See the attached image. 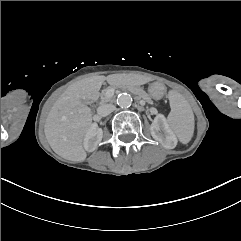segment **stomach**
<instances>
[{"label":"stomach","mask_w":241,"mask_h":241,"mask_svg":"<svg viewBox=\"0 0 241 241\" xmlns=\"http://www.w3.org/2000/svg\"><path fill=\"white\" fill-rule=\"evenodd\" d=\"M149 95L156 100L161 99L166 93V86L161 82H153L148 88Z\"/></svg>","instance_id":"obj_1"}]
</instances>
